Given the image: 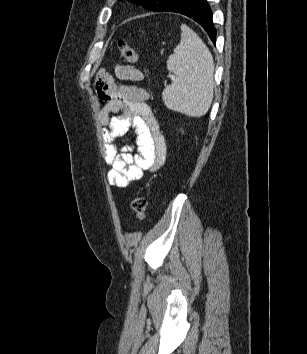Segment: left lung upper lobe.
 <instances>
[{"label":"left lung upper lobe","mask_w":307,"mask_h":354,"mask_svg":"<svg viewBox=\"0 0 307 354\" xmlns=\"http://www.w3.org/2000/svg\"><path fill=\"white\" fill-rule=\"evenodd\" d=\"M137 4H141L145 9L158 11L167 4L169 0H129Z\"/></svg>","instance_id":"obj_1"}]
</instances>
